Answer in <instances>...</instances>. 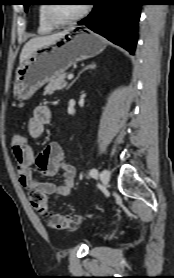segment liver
Segmentation results:
<instances>
[{
  "mask_svg": "<svg viewBox=\"0 0 174 278\" xmlns=\"http://www.w3.org/2000/svg\"><path fill=\"white\" fill-rule=\"evenodd\" d=\"M73 28L67 29L65 31L55 33L48 36H42V37H36L30 39L22 48V51L20 53V64L24 62L30 55L38 48L48 45L51 43H54L59 38L64 36L65 34L69 33Z\"/></svg>",
  "mask_w": 174,
  "mask_h": 278,
  "instance_id": "6515ba94",
  "label": "liver"
}]
</instances>
